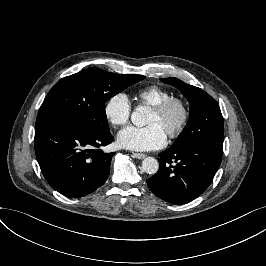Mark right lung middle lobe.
<instances>
[{"mask_svg": "<svg viewBox=\"0 0 266 266\" xmlns=\"http://www.w3.org/2000/svg\"><path fill=\"white\" fill-rule=\"evenodd\" d=\"M144 78L114 74L97 67L62 78L41 105L36 127L55 119H69L96 132L109 131L105 102Z\"/></svg>", "mask_w": 266, "mask_h": 266, "instance_id": "dd1d6c3e", "label": "right lung middle lobe"}]
</instances>
